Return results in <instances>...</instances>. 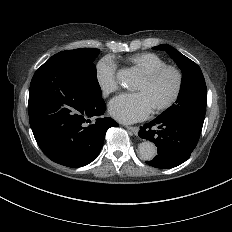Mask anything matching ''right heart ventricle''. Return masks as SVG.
I'll list each match as a JSON object with an SVG mask.
<instances>
[{
	"instance_id": "e07e8e85",
	"label": "right heart ventricle",
	"mask_w": 232,
	"mask_h": 232,
	"mask_svg": "<svg viewBox=\"0 0 232 232\" xmlns=\"http://www.w3.org/2000/svg\"><path fill=\"white\" fill-rule=\"evenodd\" d=\"M131 62L142 71L143 75L166 65V60L154 52H141L131 57Z\"/></svg>"
}]
</instances>
